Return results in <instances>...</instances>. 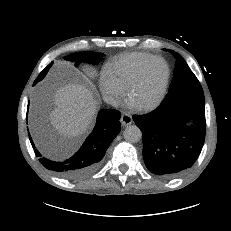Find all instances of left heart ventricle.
<instances>
[{
	"mask_svg": "<svg viewBox=\"0 0 231 231\" xmlns=\"http://www.w3.org/2000/svg\"><path fill=\"white\" fill-rule=\"evenodd\" d=\"M164 75L165 68L162 62H152L132 93L131 101L137 105H142L154 99L163 83Z\"/></svg>",
	"mask_w": 231,
	"mask_h": 231,
	"instance_id": "left-heart-ventricle-1",
	"label": "left heart ventricle"
}]
</instances>
